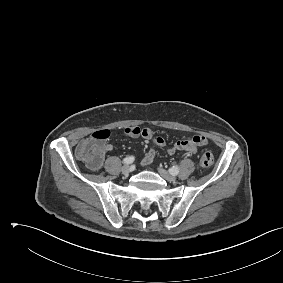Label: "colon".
<instances>
[{
	"mask_svg": "<svg viewBox=\"0 0 283 283\" xmlns=\"http://www.w3.org/2000/svg\"><path fill=\"white\" fill-rule=\"evenodd\" d=\"M109 137L107 130L92 133L77 147L76 153L79 159L92 169H97L103 158L104 141ZM214 163V156L210 151H204L200 156L201 166L208 168Z\"/></svg>",
	"mask_w": 283,
	"mask_h": 283,
	"instance_id": "1",
	"label": "colon"
}]
</instances>
